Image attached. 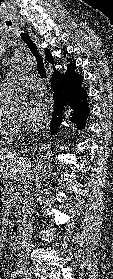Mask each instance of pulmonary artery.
Returning <instances> with one entry per match:
<instances>
[{
    "label": "pulmonary artery",
    "instance_id": "1",
    "mask_svg": "<svg viewBox=\"0 0 113 279\" xmlns=\"http://www.w3.org/2000/svg\"><path fill=\"white\" fill-rule=\"evenodd\" d=\"M15 89H30L33 91H42L44 89L43 83L35 78L24 77L16 80L8 79L1 84L0 90L6 94L12 92Z\"/></svg>",
    "mask_w": 113,
    "mask_h": 279
}]
</instances>
